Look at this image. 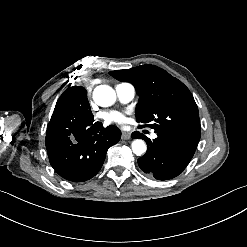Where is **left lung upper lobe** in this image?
I'll return each mask as SVG.
<instances>
[{"label":"left lung upper lobe","mask_w":247,"mask_h":247,"mask_svg":"<svg viewBox=\"0 0 247 247\" xmlns=\"http://www.w3.org/2000/svg\"><path fill=\"white\" fill-rule=\"evenodd\" d=\"M122 82L134 85L139 101L137 122L155 132H175L198 141L201 127L198 107L189 89L178 79L155 65L109 72Z\"/></svg>","instance_id":"1"}]
</instances>
